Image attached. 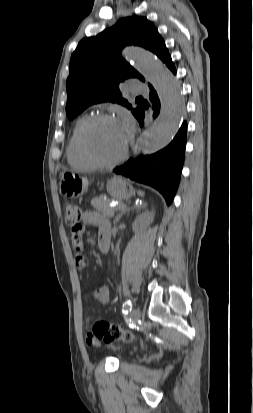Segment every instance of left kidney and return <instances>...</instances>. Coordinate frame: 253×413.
Here are the masks:
<instances>
[{
    "instance_id": "1",
    "label": "left kidney",
    "mask_w": 253,
    "mask_h": 413,
    "mask_svg": "<svg viewBox=\"0 0 253 413\" xmlns=\"http://www.w3.org/2000/svg\"><path fill=\"white\" fill-rule=\"evenodd\" d=\"M154 220V212L146 211L136 217L132 224L134 232L147 228Z\"/></svg>"
}]
</instances>
